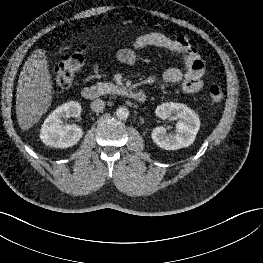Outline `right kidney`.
<instances>
[{"label":"right kidney","mask_w":263,"mask_h":263,"mask_svg":"<svg viewBox=\"0 0 263 263\" xmlns=\"http://www.w3.org/2000/svg\"><path fill=\"white\" fill-rule=\"evenodd\" d=\"M81 105L70 101L57 107L44 121L40 130V139L50 147L68 148L78 143L83 135L82 129L75 125H62L66 117H79Z\"/></svg>","instance_id":"ca27d5eb"}]
</instances>
